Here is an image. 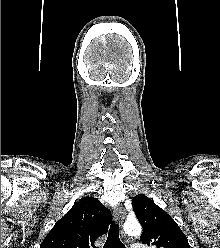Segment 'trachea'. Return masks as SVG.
<instances>
[{"instance_id": "1", "label": "trachea", "mask_w": 220, "mask_h": 248, "mask_svg": "<svg viewBox=\"0 0 220 248\" xmlns=\"http://www.w3.org/2000/svg\"><path fill=\"white\" fill-rule=\"evenodd\" d=\"M103 248H125L119 238V228L114 223L110 226L108 237Z\"/></svg>"}]
</instances>
